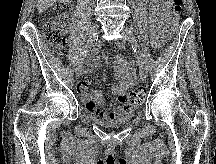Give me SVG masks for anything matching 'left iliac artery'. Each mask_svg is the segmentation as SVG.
Returning <instances> with one entry per match:
<instances>
[{"label": "left iliac artery", "instance_id": "44dca946", "mask_svg": "<svg viewBox=\"0 0 216 164\" xmlns=\"http://www.w3.org/2000/svg\"><path fill=\"white\" fill-rule=\"evenodd\" d=\"M132 52L136 54V55H135L136 58H137L136 64H137V65H140V64L142 63V60L140 59V55H139L138 52H137V46H136V45H132Z\"/></svg>", "mask_w": 216, "mask_h": 164}]
</instances>
